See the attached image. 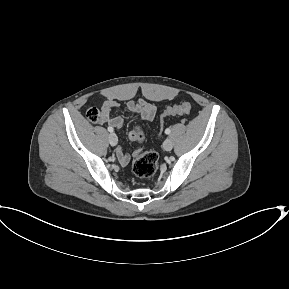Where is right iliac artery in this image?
Listing matches in <instances>:
<instances>
[{"label": "right iliac artery", "instance_id": "obj_1", "mask_svg": "<svg viewBox=\"0 0 289 289\" xmlns=\"http://www.w3.org/2000/svg\"><path fill=\"white\" fill-rule=\"evenodd\" d=\"M108 131H109V132H113L114 129H113L112 127H108Z\"/></svg>", "mask_w": 289, "mask_h": 289}]
</instances>
